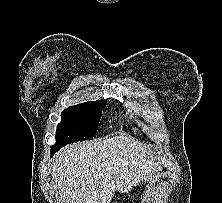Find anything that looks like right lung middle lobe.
Listing matches in <instances>:
<instances>
[{"instance_id":"right-lung-middle-lobe-1","label":"right lung middle lobe","mask_w":222,"mask_h":203,"mask_svg":"<svg viewBox=\"0 0 222 203\" xmlns=\"http://www.w3.org/2000/svg\"><path fill=\"white\" fill-rule=\"evenodd\" d=\"M105 100L90 101L66 108L61 113V122L56 130L54 147L90 140L95 136Z\"/></svg>"}]
</instances>
